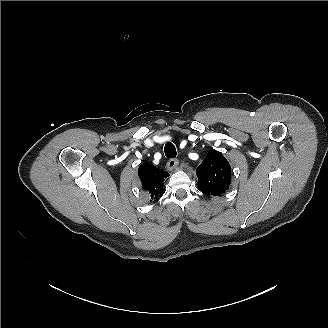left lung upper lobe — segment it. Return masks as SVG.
<instances>
[{"label": "left lung upper lobe", "mask_w": 328, "mask_h": 328, "mask_svg": "<svg viewBox=\"0 0 328 328\" xmlns=\"http://www.w3.org/2000/svg\"><path fill=\"white\" fill-rule=\"evenodd\" d=\"M198 188L206 195L220 196L231 182V167L218 151L211 150L196 170Z\"/></svg>", "instance_id": "left-lung-upper-lobe-1"}]
</instances>
